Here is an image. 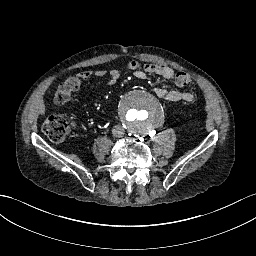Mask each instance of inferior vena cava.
Returning a JSON list of instances; mask_svg holds the SVG:
<instances>
[{"label": "inferior vena cava", "instance_id": "obj_1", "mask_svg": "<svg viewBox=\"0 0 256 256\" xmlns=\"http://www.w3.org/2000/svg\"><path fill=\"white\" fill-rule=\"evenodd\" d=\"M118 131H123V128L117 125L115 126V129H113V135L122 136L123 132L119 133Z\"/></svg>", "mask_w": 256, "mask_h": 256}]
</instances>
